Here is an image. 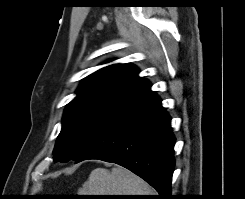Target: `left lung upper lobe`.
Masks as SVG:
<instances>
[{"instance_id":"5c2ea615","label":"left lung upper lobe","mask_w":245,"mask_h":199,"mask_svg":"<svg viewBox=\"0 0 245 199\" xmlns=\"http://www.w3.org/2000/svg\"><path fill=\"white\" fill-rule=\"evenodd\" d=\"M138 74L133 65L112 64L84 78L65 109L55 159L76 160L105 124L151 86Z\"/></svg>"}]
</instances>
